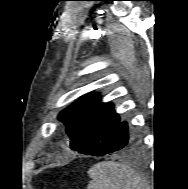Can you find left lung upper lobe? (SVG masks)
<instances>
[{
	"instance_id": "obj_1",
	"label": "left lung upper lobe",
	"mask_w": 188,
	"mask_h": 189,
	"mask_svg": "<svg viewBox=\"0 0 188 189\" xmlns=\"http://www.w3.org/2000/svg\"><path fill=\"white\" fill-rule=\"evenodd\" d=\"M70 137L72 150L88 154L120 123L110 103H102L98 93L82 96L58 115Z\"/></svg>"
}]
</instances>
